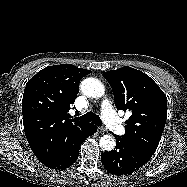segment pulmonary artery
Instances as JSON below:
<instances>
[{"label": "pulmonary artery", "mask_w": 187, "mask_h": 187, "mask_svg": "<svg viewBox=\"0 0 187 187\" xmlns=\"http://www.w3.org/2000/svg\"><path fill=\"white\" fill-rule=\"evenodd\" d=\"M102 117L107 125L112 131L116 134L121 135L124 133V126L122 120L117 115L116 111L113 108L112 102L110 99L105 98L101 104Z\"/></svg>", "instance_id": "obj_1"}]
</instances>
